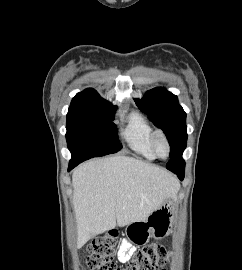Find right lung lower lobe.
<instances>
[{"mask_svg": "<svg viewBox=\"0 0 242 270\" xmlns=\"http://www.w3.org/2000/svg\"><path fill=\"white\" fill-rule=\"evenodd\" d=\"M80 162H74V163H69V168L68 171H70L71 169H73L75 166H77Z\"/></svg>", "mask_w": 242, "mask_h": 270, "instance_id": "obj_1", "label": "right lung lower lobe"}]
</instances>
